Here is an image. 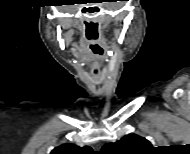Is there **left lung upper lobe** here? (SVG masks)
Instances as JSON below:
<instances>
[{"instance_id":"obj_1","label":"left lung upper lobe","mask_w":190,"mask_h":154,"mask_svg":"<svg viewBox=\"0 0 190 154\" xmlns=\"http://www.w3.org/2000/svg\"><path fill=\"white\" fill-rule=\"evenodd\" d=\"M153 149L151 143L138 135H126L115 143H108L103 146L105 154H141Z\"/></svg>"}]
</instances>
